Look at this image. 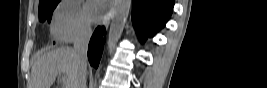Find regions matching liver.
<instances>
[{"label": "liver", "instance_id": "6515ba94", "mask_svg": "<svg viewBox=\"0 0 267 88\" xmlns=\"http://www.w3.org/2000/svg\"><path fill=\"white\" fill-rule=\"evenodd\" d=\"M64 74L65 88H74L78 65L73 49L59 48L41 55L31 70V88H51L59 74Z\"/></svg>", "mask_w": 267, "mask_h": 88}]
</instances>
